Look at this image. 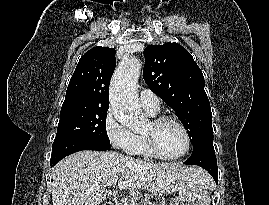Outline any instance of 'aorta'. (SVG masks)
<instances>
[{
  "label": "aorta",
  "mask_w": 269,
  "mask_h": 205,
  "mask_svg": "<svg viewBox=\"0 0 269 205\" xmlns=\"http://www.w3.org/2000/svg\"><path fill=\"white\" fill-rule=\"evenodd\" d=\"M140 71V60L126 56L116 69L110 84V104L115 118L132 129L139 128L145 121L136 94Z\"/></svg>",
  "instance_id": "762f6f07"
}]
</instances>
